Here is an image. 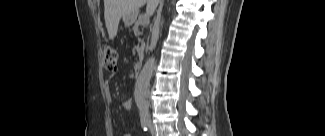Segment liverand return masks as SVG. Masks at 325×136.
I'll use <instances>...</instances> for the list:
<instances>
[{
    "instance_id": "liver-1",
    "label": "liver",
    "mask_w": 325,
    "mask_h": 136,
    "mask_svg": "<svg viewBox=\"0 0 325 136\" xmlns=\"http://www.w3.org/2000/svg\"><path fill=\"white\" fill-rule=\"evenodd\" d=\"M147 3V12L152 13L156 2L152 0H104V19L109 39L117 35L118 25L121 17L135 14L138 15L139 8Z\"/></svg>"
}]
</instances>
